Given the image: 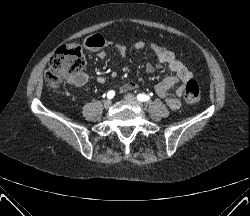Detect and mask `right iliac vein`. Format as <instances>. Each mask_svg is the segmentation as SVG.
Returning a JSON list of instances; mask_svg holds the SVG:
<instances>
[{"instance_id": "right-iliac-vein-1", "label": "right iliac vein", "mask_w": 250, "mask_h": 216, "mask_svg": "<svg viewBox=\"0 0 250 216\" xmlns=\"http://www.w3.org/2000/svg\"><path fill=\"white\" fill-rule=\"evenodd\" d=\"M112 105V101L111 100H105L104 101V107L105 108H110Z\"/></svg>"}]
</instances>
